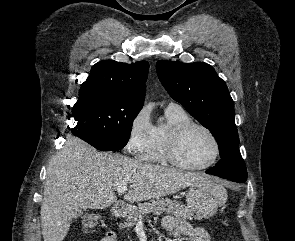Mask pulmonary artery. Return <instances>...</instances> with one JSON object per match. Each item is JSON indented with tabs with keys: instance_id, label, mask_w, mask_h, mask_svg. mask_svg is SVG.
<instances>
[{
	"instance_id": "e3ab8cb5",
	"label": "pulmonary artery",
	"mask_w": 295,
	"mask_h": 241,
	"mask_svg": "<svg viewBox=\"0 0 295 241\" xmlns=\"http://www.w3.org/2000/svg\"><path fill=\"white\" fill-rule=\"evenodd\" d=\"M168 107L182 109L181 105L178 104V103L175 102V101H170V102L168 103Z\"/></svg>"
}]
</instances>
